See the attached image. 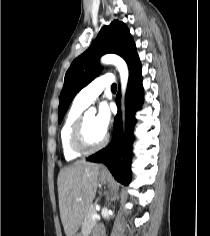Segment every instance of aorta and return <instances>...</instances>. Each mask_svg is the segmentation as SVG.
I'll list each match as a JSON object with an SVG mask.
<instances>
[{"mask_svg": "<svg viewBox=\"0 0 210 236\" xmlns=\"http://www.w3.org/2000/svg\"><path fill=\"white\" fill-rule=\"evenodd\" d=\"M101 63L115 65L119 71L120 80H121L122 101H123L122 109L124 111V96H125V91L127 88L128 77H129L128 66L126 62L120 56L115 55V54H106L102 56ZM89 111L95 112V109L91 108Z\"/></svg>", "mask_w": 210, "mask_h": 236, "instance_id": "obj_1", "label": "aorta"}]
</instances>
